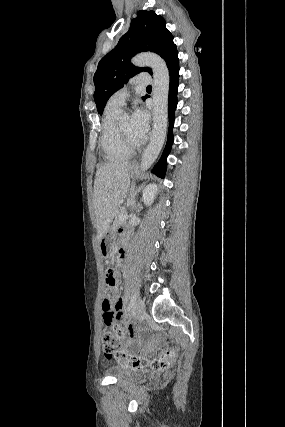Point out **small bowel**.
<instances>
[{"label":"small bowel","mask_w":285,"mask_h":427,"mask_svg":"<svg viewBox=\"0 0 285 427\" xmlns=\"http://www.w3.org/2000/svg\"><path fill=\"white\" fill-rule=\"evenodd\" d=\"M101 310L103 313L104 324L106 326H112L115 321L109 320L108 316L120 314L117 322L122 321L123 311H124V302L120 297L118 287H114L112 292L108 295H104L101 302Z\"/></svg>","instance_id":"c3829d8e"}]
</instances>
